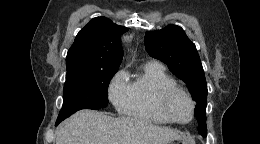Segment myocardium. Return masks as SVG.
I'll return each instance as SVG.
<instances>
[{"label": "myocardium", "instance_id": "f54148a6", "mask_svg": "<svg viewBox=\"0 0 260 144\" xmlns=\"http://www.w3.org/2000/svg\"><path fill=\"white\" fill-rule=\"evenodd\" d=\"M177 94L184 95L191 104V116L187 121L178 120L170 111L169 103L171 99ZM156 107L158 111L161 113V115H163L169 122L179 124V125H186L189 124L194 119L196 102L193 99L192 95L186 89L178 85H173V86L165 87L160 90L156 99Z\"/></svg>", "mask_w": 260, "mask_h": 144}]
</instances>
